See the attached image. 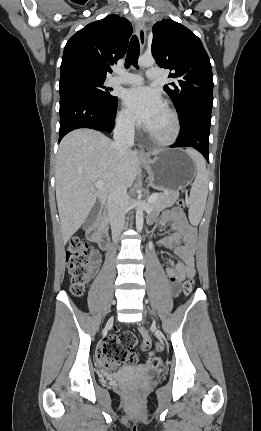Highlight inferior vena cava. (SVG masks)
Segmentation results:
<instances>
[{
  "mask_svg": "<svg viewBox=\"0 0 261 431\" xmlns=\"http://www.w3.org/2000/svg\"><path fill=\"white\" fill-rule=\"evenodd\" d=\"M135 121L129 117L120 122L114 130V145L120 154L129 151L134 145ZM127 189L117 188L111 192L107 200L108 218L111 224L112 238L117 242L125 224Z\"/></svg>",
  "mask_w": 261,
  "mask_h": 431,
  "instance_id": "inferior-vena-cava-1",
  "label": "inferior vena cava"
}]
</instances>
